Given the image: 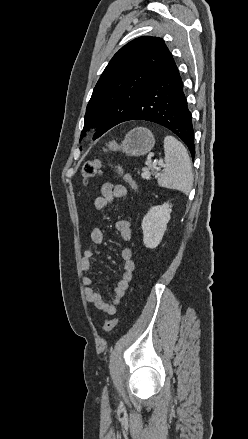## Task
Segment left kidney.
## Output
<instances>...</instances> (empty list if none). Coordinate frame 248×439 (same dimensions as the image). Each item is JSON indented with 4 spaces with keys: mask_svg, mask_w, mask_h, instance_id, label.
<instances>
[{
    "mask_svg": "<svg viewBox=\"0 0 248 439\" xmlns=\"http://www.w3.org/2000/svg\"><path fill=\"white\" fill-rule=\"evenodd\" d=\"M172 205L153 206L142 220L143 242L146 248L155 249L161 242L170 220Z\"/></svg>",
    "mask_w": 248,
    "mask_h": 439,
    "instance_id": "obj_1",
    "label": "left kidney"
}]
</instances>
